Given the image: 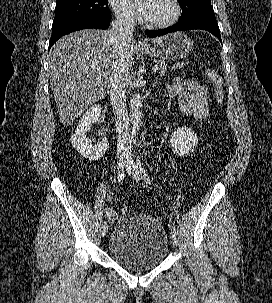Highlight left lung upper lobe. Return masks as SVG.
<instances>
[{
  "mask_svg": "<svg viewBox=\"0 0 272 303\" xmlns=\"http://www.w3.org/2000/svg\"><path fill=\"white\" fill-rule=\"evenodd\" d=\"M182 15L178 22L215 18L210 0H179Z\"/></svg>",
  "mask_w": 272,
  "mask_h": 303,
  "instance_id": "1",
  "label": "left lung upper lobe"
}]
</instances>
